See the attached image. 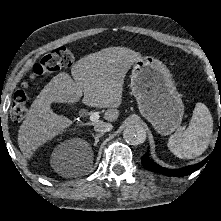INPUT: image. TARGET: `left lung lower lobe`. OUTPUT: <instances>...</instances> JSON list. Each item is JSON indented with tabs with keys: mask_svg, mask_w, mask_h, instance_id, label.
<instances>
[{
	"mask_svg": "<svg viewBox=\"0 0 221 221\" xmlns=\"http://www.w3.org/2000/svg\"><path fill=\"white\" fill-rule=\"evenodd\" d=\"M206 161H207V158L198 164L190 165L181 169L172 170V169L161 167L158 164H156L154 161H152L149 158L148 152L142 156V165L147 170L152 171V172H158L160 174L167 175V176H176V177H182V176H186V175L193 173L194 171L201 168L206 163Z\"/></svg>",
	"mask_w": 221,
	"mask_h": 221,
	"instance_id": "1",
	"label": "left lung lower lobe"
}]
</instances>
